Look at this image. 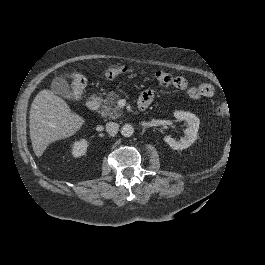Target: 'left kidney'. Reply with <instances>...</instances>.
Returning <instances> with one entry per match:
<instances>
[{
	"label": "left kidney",
	"instance_id": "5707ae66",
	"mask_svg": "<svg viewBox=\"0 0 265 265\" xmlns=\"http://www.w3.org/2000/svg\"><path fill=\"white\" fill-rule=\"evenodd\" d=\"M174 117L187 122L188 127L184 131L185 137L181 138L180 141H176L170 136H165L164 141L175 150L188 148L197 139L200 120L195 114L184 111H175Z\"/></svg>",
	"mask_w": 265,
	"mask_h": 265
}]
</instances>
